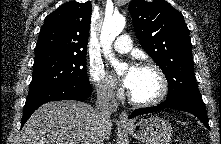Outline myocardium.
<instances>
[{"mask_svg":"<svg viewBox=\"0 0 221 144\" xmlns=\"http://www.w3.org/2000/svg\"><path fill=\"white\" fill-rule=\"evenodd\" d=\"M139 69L153 70L158 75V78L160 81V90H159L158 94L150 100L136 99L132 95V93L129 91L128 98H129L130 103L135 106H138V107H151V106H155V105L161 103L168 93V80H167V77H166L164 71L161 69L160 66H158L157 64H155L153 62H145L140 65Z\"/></svg>","mask_w":221,"mask_h":144,"instance_id":"obj_1","label":"myocardium"}]
</instances>
